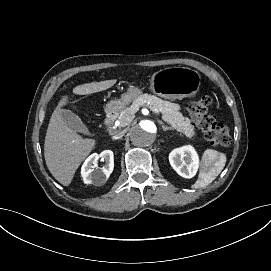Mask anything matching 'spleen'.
<instances>
[{
  "label": "spleen",
  "instance_id": "3e777b00",
  "mask_svg": "<svg viewBox=\"0 0 271 271\" xmlns=\"http://www.w3.org/2000/svg\"><path fill=\"white\" fill-rule=\"evenodd\" d=\"M226 163V155L215 150L205 151L199 178L192 186L193 188H203L212 183L221 173Z\"/></svg>",
  "mask_w": 271,
  "mask_h": 271
}]
</instances>
